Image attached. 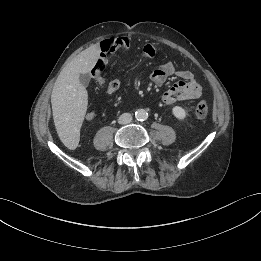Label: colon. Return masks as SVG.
<instances>
[{"label": "colon", "mask_w": 261, "mask_h": 261, "mask_svg": "<svg viewBox=\"0 0 261 261\" xmlns=\"http://www.w3.org/2000/svg\"><path fill=\"white\" fill-rule=\"evenodd\" d=\"M95 79L97 82H99L100 84L103 85L105 91L107 93H110L109 87L107 86V84H103L99 78L98 75L95 74ZM208 113V104L206 100H201L197 103L196 107H195V115L197 118L199 119H203L206 117Z\"/></svg>", "instance_id": "colon-1"}]
</instances>
